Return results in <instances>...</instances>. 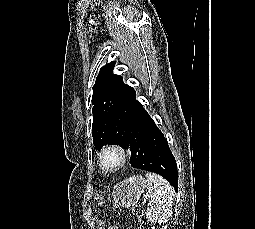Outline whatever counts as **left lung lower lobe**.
Segmentation results:
<instances>
[{
	"instance_id": "left-lung-lower-lobe-1",
	"label": "left lung lower lobe",
	"mask_w": 255,
	"mask_h": 229,
	"mask_svg": "<svg viewBox=\"0 0 255 229\" xmlns=\"http://www.w3.org/2000/svg\"><path fill=\"white\" fill-rule=\"evenodd\" d=\"M114 121L129 138L131 166L155 172L178 188L177 165L163 133L143 105L136 100L133 88L114 113Z\"/></svg>"
}]
</instances>
